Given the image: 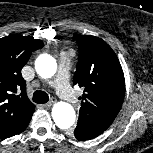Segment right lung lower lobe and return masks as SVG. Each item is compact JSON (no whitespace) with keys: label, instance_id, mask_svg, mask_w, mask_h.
Here are the masks:
<instances>
[{"label":"right lung lower lobe","instance_id":"obj_1","mask_svg":"<svg viewBox=\"0 0 153 153\" xmlns=\"http://www.w3.org/2000/svg\"><path fill=\"white\" fill-rule=\"evenodd\" d=\"M29 122L30 121H28L16 134H19V133H21L22 131H24L25 130V128L27 127V125L29 124ZM15 134V135H16Z\"/></svg>","mask_w":153,"mask_h":153}]
</instances>
